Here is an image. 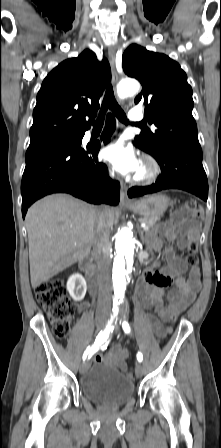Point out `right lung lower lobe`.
Wrapping results in <instances>:
<instances>
[{"instance_id": "98d812e1", "label": "right lung lower lobe", "mask_w": 221, "mask_h": 448, "mask_svg": "<svg viewBox=\"0 0 221 448\" xmlns=\"http://www.w3.org/2000/svg\"><path fill=\"white\" fill-rule=\"evenodd\" d=\"M115 128L108 114L102 136L107 143ZM84 133L62 137L29 147L21 182L22 216L28 207L41 197L57 192L70 193L87 202L117 205L120 184L108 177V169L98 161L99 144L81 147Z\"/></svg>"}]
</instances>
